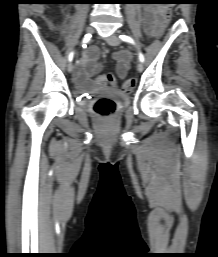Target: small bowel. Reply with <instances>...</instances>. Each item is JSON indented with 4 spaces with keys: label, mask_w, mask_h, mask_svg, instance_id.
Returning a JSON list of instances; mask_svg holds the SVG:
<instances>
[{
    "label": "small bowel",
    "mask_w": 218,
    "mask_h": 257,
    "mask_svg": "<svg viewBox=\"0 0 218 257\" xmlns=\"http://www.w3.org/2000/svg\"><path fill=\"white\" fill-rule=\"evenodd\" d=\"M161 11L162 8L146 6L143 9V28L144 31L150 35H154L157 21H162ZM100 52L97 46L91 45L85 49L82 55L81 63L76 70V80L79 84H84L91 78L92 74H99L102 65L98 63ZM117 59V75L119 78H124L129 69L130 54L128 52H120L115 55ZM103 74V73H100ZM94 88V84H91Z\"/></svg>",
    "instance_id": "obj_1"
}]
</instances>
